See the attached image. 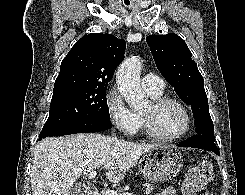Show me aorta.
Instances as JSON below:
<instances>
[{
  "label": "aorta",
  "mask_w": 245,
  "mask_h": 195,
  "mask_svg": "<svg viewBox=\"0 0 245 195\" xmlns=\"http://www.w3.org/2000/svg\"><path fill=\"white\" fill-rule=\"evenodd\" d=\"M142 60L138 56L125 59L118 68L116 82L121 95L133 110L141 109L148 101L140 87Z\"/></svg>",
  "instance_id": "aorta-1"
}]
</instances>
